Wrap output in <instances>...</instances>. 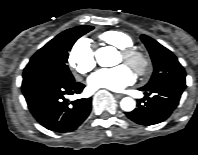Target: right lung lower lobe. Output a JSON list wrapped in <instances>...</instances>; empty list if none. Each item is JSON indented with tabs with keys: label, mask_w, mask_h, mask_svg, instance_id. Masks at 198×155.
Segmentation results:
<instances>
[{
	"label": "right lung lower lobe",
	"mask_w": 198,
	"mask_h": 155,
	"mask_svg": "<svg viewBox=\"0 0 198 155\" xmlns=\"http://www.w3.org/2000/svg\"><path fill=\"white\" fill-rule=\"evenodd\" d=\"M84 85L71 81L32 76L23 78L22 92L29 110L45 128L65 133L76 130L91 111V98L69 102L68 95L80 94Z\"/></svg>",
	"instance_id": "obj_1"
}]
</instances>
